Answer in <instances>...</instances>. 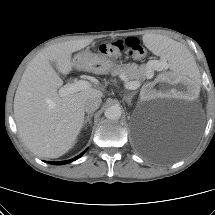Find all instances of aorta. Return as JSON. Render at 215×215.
I'll return each instance as SVG.
<instances>
[{
    "mask_svg": "<svg viewBox=\"0 0 215 215\" xmlns=\"http://www.w3.org/2000/svg\"><path fill=\"white\" fill-rule=\"evenodd\" d=\"M121 114L122 111L118 105H112L108 107L104 112L105 117L109 120H118L120 119Z\"/></svg>",
    "mask_w": 215,
    "mask_h": 215,
    "instance_id": "obj_1",
    "label": "aorta"
}]
</instances>
